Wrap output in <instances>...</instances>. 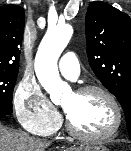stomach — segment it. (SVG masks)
<instances>
[{"label": "stomach", "mask_w": 131, "mask_h": 151, "mask_svg": "<svg viewBox=\"0 0 131 151\" xmlns=\"http://www.w3.org/2000/svg\"><path fill=\"white\" fill-rule=\"evenodd\" d=\"M79 151H109L105 146L100 144H91L82 147Z\"/></svg>", "instance_id": "1"}]
</instances>
